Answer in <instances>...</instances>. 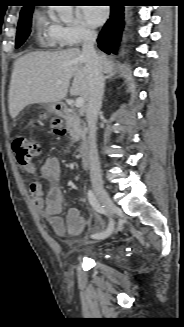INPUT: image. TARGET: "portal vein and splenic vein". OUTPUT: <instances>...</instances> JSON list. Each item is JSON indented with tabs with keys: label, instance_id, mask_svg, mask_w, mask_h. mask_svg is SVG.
Segmentation results:
<instances>
[{
	"label": "portal vein and splenic vein",
	"instance_id": "obj_1",
	"mask_svg": "<svg viewBox=\"0 0 184 327\" xmlns=\"http://www.w3.org/2000/svg\"><path fill=\"white\" fill-rule=\"evenodd\" d=\"M74 105L75 107L77 108H81L84 106V99L82 97H78L75 99V102H74Z\"/></svg>",
	"mask_w": 184,
	"mask_h": 327
}]
</instances>
